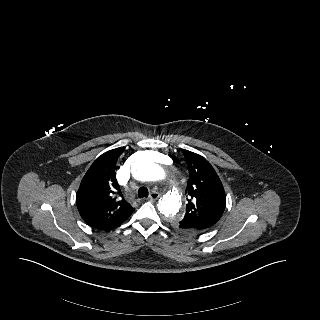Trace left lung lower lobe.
<instances>
[{
    "label": "left lung lower lobe",
    "instance_id": "0a47b994",
    "mask_svg": "<svg viewBox=\"0 0 320 320\" xmlns=\"http://www.w3.org/2000/svg\"><path fill=\"white\" fill-rule=\"evenodd\" d=\"M178 228H180V229H182V230H184V231H186V232H190V233H197V232H199V231H197V230H194V229L190 228L188 225H185V224L179 225Z\"/></svg>",
    "mask_w": 320,
    "mask_h": 320
}]
</instances>
